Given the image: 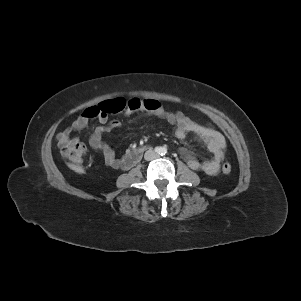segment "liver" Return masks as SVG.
I'll return each mask as SVG.
<instances>
[{"instance_id": "1", "label": "liver", "mask_w": 301, "mask_h": 301, "mask_svg": "<svg viewBox=\"0 0 301 301\" xmlns=\"http://www.w3.org/2000/svg\"><path fill=\"white\" fill-rule=\"evenodd\" d=\"M71 169H73L75 172L77 173H84V169L81 167H77V166H70Z\"/></svg>"}]
</instances>
